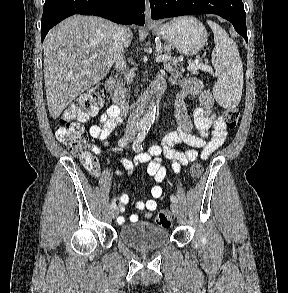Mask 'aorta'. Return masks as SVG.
Masks as SVG:
<instances>
[{
	"label": "aorta",
	"instance_id": "762f6f07",
	"mask_svg": "<svg viewBox=\"0 0 288 293\" xmlns=\"http://www.w3.org/2000/svg\"><path fill=\"white\" fill-rule=\"evenodd\" d=\"M156 112H157V106L152 101L149 105V108H148L146 114L139 122V126L142 130H149L150 129V127L152 126V124L155 121Z\"/></svg>",
	"mask_w": 288,
	"mask_h": 293
}]
</instances>
